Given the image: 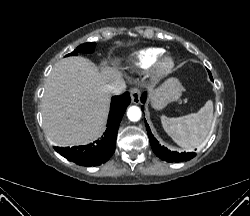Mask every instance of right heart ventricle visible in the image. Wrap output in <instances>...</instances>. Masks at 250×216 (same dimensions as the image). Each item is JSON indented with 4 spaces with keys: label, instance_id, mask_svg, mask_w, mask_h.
<instances>
[{
    "label": "right heart ventricle",
    "instance_id": "e07e8e85",
    "mask_svg": "<svg viewBox=\"0 0 250 216\" xmlns=\"http://www.w3.org/2000/svg\"><path fill=\"white\" fill-rule=\"evenodd\" d=\"M164 49L158 47H149L135 52L130 57V63L133 67L140 70L151 68L156 60L164 54Z\"/></svg>",
    "mask_w": 250,
    "mask_h": 216
}]
</instances>
